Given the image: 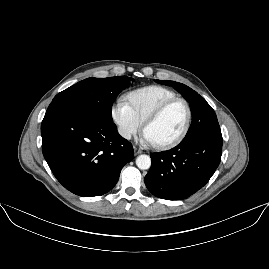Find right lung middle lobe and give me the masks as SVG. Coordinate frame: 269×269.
<instances>
[{
	"instance_id": "right-lung-middle-lobe-1",
	"label": "right lung middle lobe",
	"mask_w": 269,
	"mask_h": 269,
	"mask_svg": "<svg viewBox=\"0 0 269 269\" xmlns=\"http://www.w3.org/2000/svg\"><path fill=\"white\" fill-rule=\"evenodd\" d=\"M131 81L133 79L127 76L87 78L57 94L51 104L83 108L112 121V104Z\"/></svg>"
}]
</instances>
